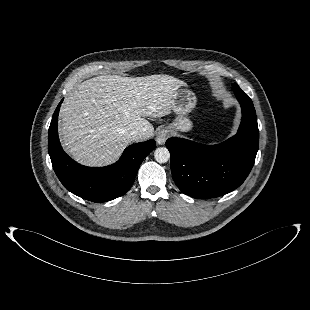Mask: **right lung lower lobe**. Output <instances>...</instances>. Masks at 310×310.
Segmentation results:
<instances>
[{"mask_svg":"<svg viewBox=\"0 0 310 310\" xmlns=\"http://www.w3.org/2000/svg\"><path fill=\"white\" fill-rule=\"evenodd\" d=\"M61 103L53 114L48 132L49 155L61 183L68 191L92 202L110 201L124 195L132 186L143 159L155 148V140L128 146L119 161L110 166H82L73 161L60 145L57 124Z\"/></svg>","mask_w":310,"mask_h":310,"instance_id":"98d812e1","label":"right lung lower lobe"}]
</instances>
